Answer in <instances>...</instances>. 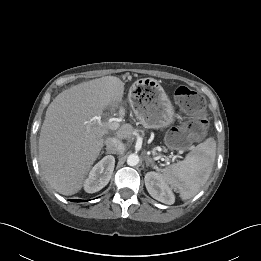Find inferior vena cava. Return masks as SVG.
Instances as JSON below:
<instances>
[{"mask_svg": "<svg viewBox=\"0 0 261 261\" xmlns=\"http://www.w3.org/2000/svg\"><path fill=\"white\" fill-rule=\"evenodd\" d=\"M106 150L110 154H123L125 151L124 144L116 138H107L105 140Z\"/></svg>", "mask_w": 261, "mask_h": 261, "instance_id": "obj_1", "label": "inferior vena cava"}]
</instances>
